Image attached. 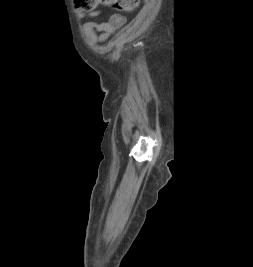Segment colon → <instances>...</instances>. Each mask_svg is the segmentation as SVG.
<instances>
[{"label": "colon", "instance_id": "obj_1", "mask_svg": "<svg viewBox=\"0 0 253 267\" xmlns=\"http://www.w3.org/2000/svg\"><path fill=\"white\" fill-rule=\"evenodd\" d=\"M74 7L80 11H93L98 7H110L116 11H130L138 3L136 0H73Z\"/></svg>", "mask_w": 253, "mask_h": 267}]
</instances>
